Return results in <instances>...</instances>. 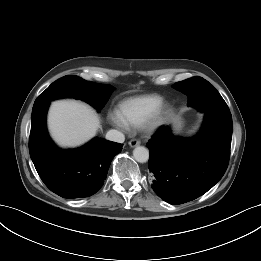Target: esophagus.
I'll list each match as a JSON object with an SVG mask.
<instances>
[{
	"mask_svg": "<svg viewBox=\"0 0 261 261\" xmlns=\"http://www.w3.org/2000/svg\"><path fill=\"white\" fill-rule=\"evenodd\" d=\"M139 145H140V141L137 139H132L129 141V146L132 148L139 146Z\"/></svg>",
	"mask_w": 261,
	"mask_h": 261,
	"instance_id": "34e87169",
	"label": "esophagus"
}]
</instances>
